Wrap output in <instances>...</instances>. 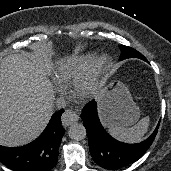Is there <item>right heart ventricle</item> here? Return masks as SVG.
I'll list each match as a JSON object with an SVG mask.
<instances>
[{
	"label": "right heart ventricle",
	"instance_id": "obj_1",
	"mask_svg": "<svg viewBox=\"0 0 171 171\" xmlns=\"http://www.w3.org/2000/svg\"><path fill=\"white\" fill-rule=\"evenodd\" d=\"M93 61V54H83L61 62L55 70V78L58 84L64 87L73 83L89 69Z\"/></svg>",
	"mask_w": 171,
	"mask_h": 171
}]
</instances>
